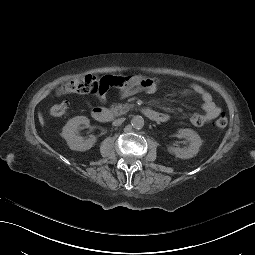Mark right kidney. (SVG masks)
<instances>
[{"mask_svg": "<svg viewBox=\"0 0 255 255\" xmlns=\"http://www.w3.org/2000/svg\"><path fill=\"white\" fill-rule=\"evenodd\" d=\"M89 126V119L84 116H78L70 120L63 129V137L67 145L74 151L90 150L96 143L97 138L91 136L87 141H82L78 130Z\"/></svg>", "mask_w": 255, "mask_h": 255, "instance_id": "1", "label": "right kidney"}]
</instances>
